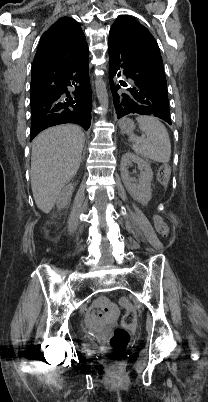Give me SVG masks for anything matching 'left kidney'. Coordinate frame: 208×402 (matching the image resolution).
<instances>
[{
	"label": "left kidney",
	"instance_id": "left-kidney-1",
	"mask_svg": "<svg viewBox=\"0 0 208 402\" xmlns=\"http://www.w3.org/2000/svg\"><path fill=\"white\" fill-rule=\"evenodd\" d=\"M132 162L133 164H138V168L141 170L138 182L136 178H130L129 176L128 168L132 166ZM120 172L123 184L133 200L146 206L152 196L151 182L153 172L150 164L145 162L140 156H136V154H132V152H127V154H123L122 156ZM133 182H136V184H133Z\"/></svg>",
	"mask_w": 208,
	"mask_h": 402
}]
</instances>
